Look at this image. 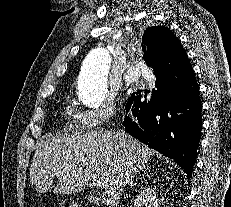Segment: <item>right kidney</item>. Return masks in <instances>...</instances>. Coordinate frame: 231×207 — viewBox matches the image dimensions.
<instances>
[{"mask_svg": "<svg viewBox=\"0 0 231 207\" xmlns=\"http://www.w3.org/2000/svg\"><path fill=\"white\" fill-rule=\"evenodd\" d=\"M134 207H158V198L154 189H143L135 198Z\"/></svg>", "mask_w": 231, "mask_h": 207, "instance_id": "1", "label": "right kidney"}]
</instances>
